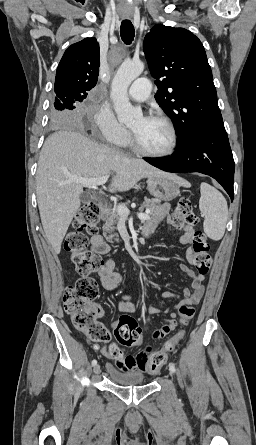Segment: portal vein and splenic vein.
Masks as SVG:
<instances>
[{"instance_id":"1","label":"portal vein and splenic vein","mask_w":256,"mask_h":445,"mask_svg":"<svg viewBox=\"0 0 256 445\" xmlns=\"http://www.w3.org/2000/svg\"><path fill=\"white\" fill-rule=\"evenodd\" d=\"M107 180L108 176H103L101 178H78V177L71 178V181L80 183L89 188L96 187L99 185H104L107 182ZM116 208L118 214L122 217H128V215L130 214L129 209L126 206L118 205ZM149 212H150L149 210H146L145 213H138L137 216L140 220L143 221L149 220L150 219Z\"/></svg>"}]
</instances>
